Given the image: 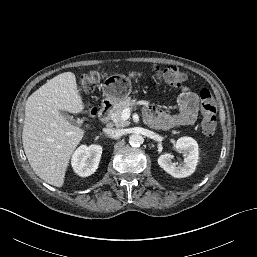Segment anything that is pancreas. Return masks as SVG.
<instances>
[{"label": "pancreas", "instance_id": "1", "mask_svg": "<svg viewBox=\"0 0 257 257\" xmlns=\"http://www.w3.org/2000/svg\"><path fill=\"white\" fill-rule=\"evenodd\" d=\"M137 104L138 101L136 99H131L130 97H127L117 103L113 108L111 116V119L114 121L115 125L118 127L127 126L129 122L127 120H122L121 113L125 108L133 109V107Z\"/></svg>", "mask_w": 257, "mask_h": 257}]
</instances>
